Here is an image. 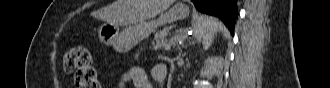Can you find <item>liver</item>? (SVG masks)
<instances>
[{"label":"liver","mask_w":330,"mask_h":88,"mask_svg":"<svg viewBox=\"0 0 330 88\" xmlns=\"http://www.w3.org/2000/svg\"><path fill=\"white\" fill-rule=\"evenodd\" d=\"M174 0H116L101 12L102 20L116 25H133L165 11Z\"/></svg>","instance_id":"liver-1"}]
</instances>
